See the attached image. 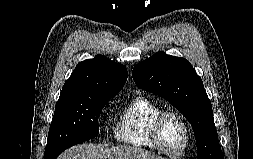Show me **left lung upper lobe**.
<instances>
[{"mask_svg": "<svg viewBox=\"0 0 253 159\" xmlns=\"http://www.w3.org/2000/svg\"><path fill=\"white\" fill-rule=\"evenodd\" d=\"M132 77L137 86L165 98L187 118L194 129L197 159H221L211 102L186 59L160 51L137 64Z\"/></svg>", "mask_w": 253, "mask_h": 159, "instance_id": "obj_1", "label": "left lung upper lobe"}]
</instances>
